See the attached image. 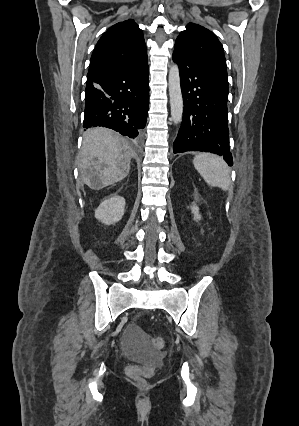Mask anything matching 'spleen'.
Wrapping results in <instances>:
<instances>
[{
    "mask_svg": "<svg viewBox=\"0 0 299 426\" xmlns=\"http://www.w3.org/2000/svg\"><path fill=\"white\" fill-rule=\"evenodd\" d=\"M193 164L208 185L219 187L224 191L228 190L230 170L221 157L210 153H201L194 157Z\"/></svg>",
    "mask_w": 299,
    "mask_h": 426,
    "instance_id": "obj_1",
    "label": "spleen"
}]
</instances>
